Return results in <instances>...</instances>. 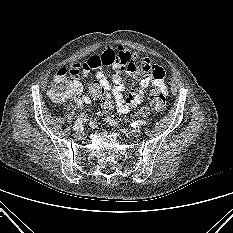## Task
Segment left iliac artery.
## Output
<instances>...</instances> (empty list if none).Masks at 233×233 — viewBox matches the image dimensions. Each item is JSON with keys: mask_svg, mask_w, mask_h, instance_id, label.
<instances>
[{"mask_svg": "<svg viewBox=\"0 0 233 233\" xmlns=\"http://www.w3.org/2000/svg\"><path fill=\"white\" fill-rule=\"evenodd\" d=\"M107 122H109L110 124H116V122H114L112 119L110 118H107ZM143 125V121L139 120V121H135L133 123H131V126L134 128V129H139L140 126Z\"/></svg>", "mask_w": 233, "mask_h": 233, "instance_id": "left-iliac-artery-1", "label": "left iliac artery"}]
</instances>
